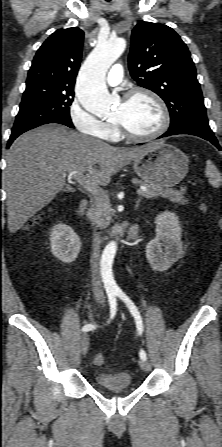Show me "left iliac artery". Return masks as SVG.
I'll return each mask as SVG.
<instances>
[{
  "mask_svg": "<svg viewBox=\"0 0 222 447\" xmlns=\"http://www.w3.org/2000/svg\"><path fill=\"white\" fill-rule=\"evenodd\" d=\"M115 294L121 300H123L126 303V305L128 306L131 314L135 318L137 331L141 335L143 332L144 326H143L142 317H141L137 307L134 305V303L130 300V298L121 289L117 288L115 290ZM139 355H140L141 359H143V360L147 359V356H146V353L144 350L141 349Z\"/></svg>",
  "mask_w": 222,
  "mask_h": 447,
  "instance_id": "obj_1",
  "label": "left iliac artery"
}]
</instances>
